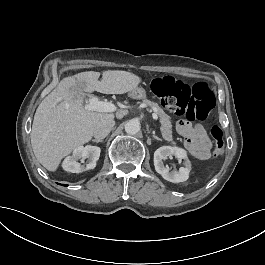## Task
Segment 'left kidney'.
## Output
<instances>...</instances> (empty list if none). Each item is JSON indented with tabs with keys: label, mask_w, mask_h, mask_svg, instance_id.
<instances>
[{
	"label": "left kidney",
	"mask_w": 265,
	"mask_h": 265,
	"mask_svg": "<svg viewBox=\"0 0 265 265\" xmlns=\"http://www.w3.org/2000/svg\"><path fill=\"white\" fill-rule=\"evenodd\" d=\"M166 156H175L178 159H185V167H181L179 171H170V169L164 166L163 159ZM154 167L155 170L161 174V176L170 182H182L188 179V175L191 169L190 162L187 160L186 153L183 149L171 146L159 147L154 152Z\"/></svg>",
	"instance_id": "5707ae66"
}]
</instances>
